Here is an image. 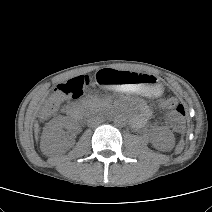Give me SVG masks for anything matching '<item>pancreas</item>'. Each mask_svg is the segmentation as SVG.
<instances>
[{
	"mask_svg": "<svg viewBox=\"0 0 212 212\" xmlns=\"http://www.w3.org/2000/svg\"><path fill=\"white\" fill-rule=\"evenodd\" d=\"M101 103V100L98 99V98H91V99H88L85 101L84 105L88 108V109H91V108H94L98 105H100Z\"/></svg>",
	"mask_w": 212,
	"mask_h": 212,
	"instance_id": "obj_1",
	"label": "pancreas"
}]
</instances>
